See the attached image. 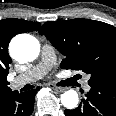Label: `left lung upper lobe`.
<instances>
[{
  "label": "left lung upper lobe",
  "instance_id": "5c2ea615",
  "mask_svg": "<svg viewBox=\"0 0 116 116\" xmlns=\"http://www.w3.org/2000/svg\"><path fill=\"white\" fill-rule=\"evenodd\" d=\"M65 59L61 67L90 75L89 85H116V28L77 18L51 21L39 30Z\"/></svg>",
  "mask_w": 116,
  "mask_h": 116
}]
</instances>
